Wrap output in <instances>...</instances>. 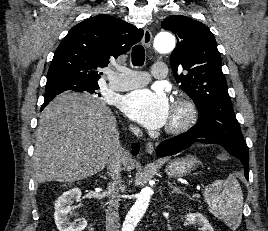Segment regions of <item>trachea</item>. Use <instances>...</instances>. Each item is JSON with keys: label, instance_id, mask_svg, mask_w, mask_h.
I'll list each match as a JSON object with an SVG mask.
<instances>
[{"label": "trachea", "instance_id": "3493384b", "mask_svg": "<svg viewBox=\"0 0 268 231\" xmlns=\"http://www.w3.org/2000/svg\"><path fill=\"white\" fill-rule=\"evenodd\" d=\"M145 61V50L141 45H135L132 48V64L134 66H142Z\"/></svg>", "mask_w": 268, "mask_h": 231}]
</instances>
